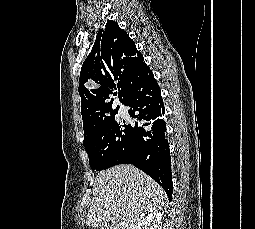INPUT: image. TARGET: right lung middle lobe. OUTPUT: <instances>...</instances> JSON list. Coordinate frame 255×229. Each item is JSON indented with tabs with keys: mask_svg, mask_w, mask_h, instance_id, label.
<instances>
[{
	"mask_svg": "<svg viewBox=\"0 0 255 229\" xmlns=\"http://www.w3.org/2000/svg\"><path fill=\"white\" fill-rule=\"evenodd\" d=\"M115 114L103 122L91 137L83 142L92 170L110 168L133 155L130 125L116 119Z\"/></svg>",
	"mask_w": 255,
	"mask_h": 229,
	"instance_id": "dd1d6c3e",
	"label": "right lung middle lobe"
}]
</instances>
